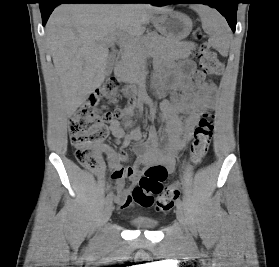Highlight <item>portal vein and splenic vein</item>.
Segmentation results:
<instances>
[{
	"label": "portal vein and splenic vein",
	"instance_id": "1",
	"mask_svg": "<svg viewBox=\"0 0 279 267\" xmlns=\"http://www.w3.org/2000/svg\"><path fill=\"white\" fill-rule=\"evenodd\" d=\"M117 41L121 45H127V44H130L134 40L130 39L127 35H125L122 32H117L104 40V42L106 44H113L114 42H117Z\"/></svg>",
	"mask_w": 279,
	"mask_h": 267
}]
</instances>
